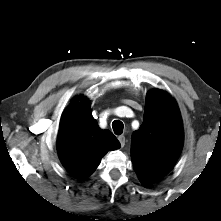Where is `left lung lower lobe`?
<instances>
[{"label":"left lung lower lobe","instance_id":"left-lung-lower-lobe-1","mask_svg":"<svg viewBox=\"0 0 221 221\" xmlns=\"http://www.w3.org/2000/svg\"><path fill=\"white\" fill-rule=\"evenodd\" d=\"M141 182L143 183V184H146V185H148V184H151L152 182H148V181H145V180H141Z\"/></svg>","mask_w":221,"mask_h":221}]
</instances>
